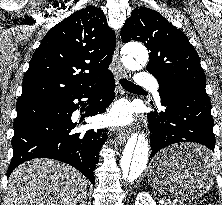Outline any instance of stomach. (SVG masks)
<instances>
[{"label":"stomach","mask_w":222,"mask_h":205,"mask_svg":"<svg viewBox=\"0 0 222 205\" xmlns=\"http://www.w3.org/2000/svg\"><path fill=\"white\" fill-rule=\"evenodd\" d=\"M205 150L200 145L182 144L161 151L148 166V183L164 195L186 201L198 199L211 187L215 171L212 164L200 165L186 159Z\"/></svg>","instance_id":"0dacf381"}]
</instances>
